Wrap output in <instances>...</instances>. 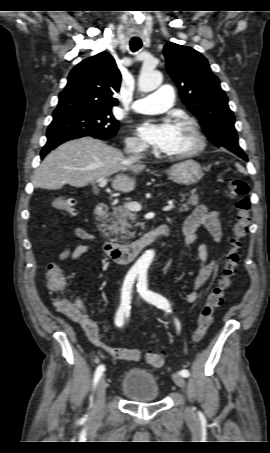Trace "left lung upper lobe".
<instances>
[{
	"label": "left lung upper lobe",
	"mask_w": 270,
	"mask_h": 453,
	"mask_svg": "<svg viewBox=\"0 0 270 453\" xmlns=\"http://www.w3.org/2000/svg\"><path fill=\"white\" fill-rule=\"evenodd\" d=\"M164 56L183 102L201 120L206 136L217 147L230 151L241 149L228 98L207 59L191 47L172 42L165 45Z\"/></svg>",
	"instance_id": "1"
}]
</instances>
